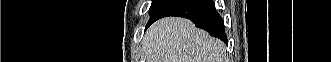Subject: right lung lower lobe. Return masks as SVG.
Instances as JSON below:
<instances>
[{"label":"right lung lower lobe","mask_w":331,"mask_h":62,"mask_svg":"<svg viewBox=\"0 0 331 62\" xmlns=\"http://www.w3.org/2000/svg\"><path fill=\"white\" fill-rule=\"evenodd\" d=\"M167 16L188 18L196 27L208 31L210 35L227 43L222 18L215 10L212 0H177L159 16L149 21L147 27L156 20Z\"/></svg>","instance_id":"1"}]
</instances>
